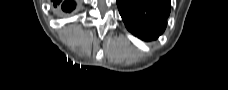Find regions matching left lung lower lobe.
I'll return each instance as SVG.
<instances>
[{
  "mask_svg": "<svg viewBox=\"0 0 228 90\" xmlns=\"http://www.w3.org/2000/svg\"><path fill=\"white\" fill-rule=\"evenodd\" d=\"M120 15L135 36L156 39L165 29L170 0H117Z\"/></svg>",
  "mask_w": 228,
  "mask_h": 90,
  "instance_id": "0a47b994",
  "label": "left lung lower lobe"
}]
</instances>
